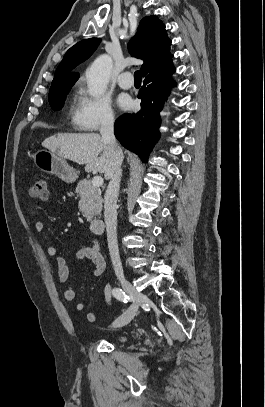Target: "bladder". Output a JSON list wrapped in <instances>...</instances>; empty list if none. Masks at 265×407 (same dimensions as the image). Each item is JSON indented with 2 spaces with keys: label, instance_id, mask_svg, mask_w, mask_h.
Masks as SVG:
<instances>
[{
  "label": "bladder",
  "instance_id": "31cf9c89",
  "mask_svg": "<svg viewBox=\"0 0 265 407\" xmlns=\"http://www.w3.org/2000/svg\"><path fill=\"white\" fill-rule=\"evenodd\" d=\"M120 339H121V340H124L125 338H124V337H121Z\"/></svg>",
  "mask_w": 265,
  "mask_h": 407
}]
</instances>
